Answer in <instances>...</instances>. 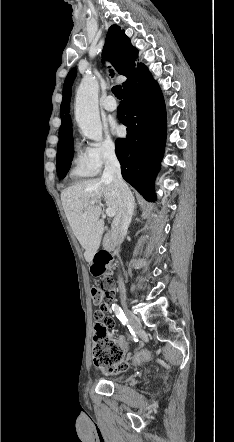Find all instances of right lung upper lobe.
<instances>
[{"label":"right lung upper lobe","instance_id":"right-lung-upper-lobe-1","mask_svg":"<svg viewBox=\"0 0 234 442\" xmlns=\"http://www.w3.org/2000/svg\"><path fill=\"white\" fill-rule=\"evenodd\" d=\"M103 59L111 61L117 72L127 77L123 87L133 77L147 70L144 64L136 63L138 51L131 45L129 38L117 25H112L107 33L102 53ZM76 76L75 69L67 75L63 85V100L60 107L62 124L59 130L57 147L65 144L72 137V122L69 116L71 86Z\"/></svg>","mask_w":234,"mask_h":442}]
</instances>
